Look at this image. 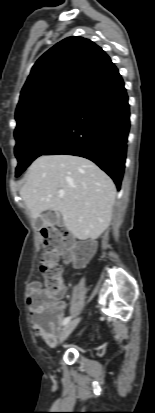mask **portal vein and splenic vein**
<instances>
[{
  "label": "portal vein and splenic vein",
  "mask_w": 155,
  "mask_h": 413,
  "mask_svg": "<svg viewBox=\"0 0 155 413\" xmlns=\"http://www.w3.org/2000/svg\"><path fill=\"white\" fill-rule=\"evenodd\" d=\"M59 194H60V195H64L65 193H64L63 190H60V191H59Z\"/></svg>",
  "instance_id": "obj_1"
}]
</instances>
